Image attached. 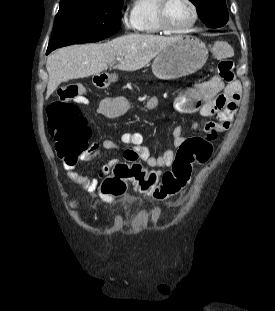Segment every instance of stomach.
I'll return each instance as SVG.
<instances>
[{"label": "stomach", "instance_id": "0dacf381", "mask_svg": "<svg viewBox=\"0 0 275 311\" xmlns=\"http://www.w3.org/2000/svg\"><path fill=\"white\" fill-rule=\"evenodd\" d=\"M208 59L205 44L196 37L185 36L165 47L152 63L153 74L162 80L184 77L200 70ZM112 78H109V83Z\"/></svg>", "mask_w": 275, "mask_h": 311}]
</instances>
